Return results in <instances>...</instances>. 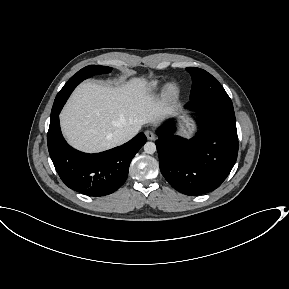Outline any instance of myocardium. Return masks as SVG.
<instances>
[{
	"instance_id": "f54148a6",
	"label": "myocardium",
	"mask_w": 289,
	"mask_h": 289,
	"mask_svg": "<svg viewBox=\"0 0 289 289\" xmlns=\"http://www.w3.org/2000/svg\"><path fill=\"white\" fill-rule=\"evenodd\" d=\"M177 91H178V87L175 83H168L164 89V93L167 96H173L177 93Z\"/></svg>"
}]
</instances>
